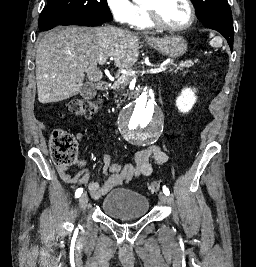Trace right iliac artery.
<instances>
[{
	"label": "right iliac artery",
	"mask_w": 256,
	"mask_h": 267,
	"mask_svg": "<svg viewBox=\"0 0 256 267\" xmlns=\"http://www.w3.org/2000/svg\"><path fill=\"white\" fill-rule=\"evenodd\" d=\"M83 193V188H78L75 192V197L79 198L81 194Z\"/></svg>",
	"instance_id": "1"
}]
</instances>
